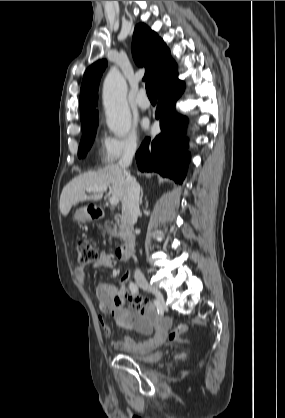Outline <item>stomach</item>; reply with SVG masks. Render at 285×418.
<instances>
[{"mask_svg": "<svg viewBox=\"0 0 285 418\" xmlns=\"http://www.w3.org/2000/svg\"><path fill=\"white\" fill-rule=\"evenodd\" d=\"M90 213L86 207L77 209L74 218L78 222H84L90 218Z\"/></svg>", "mask_w": 285, "mask_h": 418, "instance_id": "obj_1", "label": "stomach"}]
</instances>
